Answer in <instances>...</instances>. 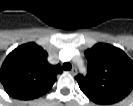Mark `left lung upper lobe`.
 I'll list each match as a JSON object with an SVG mask.
<instances>
[{"instance_id": "obj_1", "label": "left lung upper lobe", "mask_w": 133, "mask_h": 106, "mask_svg": "<svg viewBox=\"0 0 133 106\" xmlns=\"http://www.w3.org/2000/svg\"><path fill=\"white\" fill-rule=\"evenodd\" d=\"M87 75L75 78L82 92L97 104H114L133 88V61L119 48L98 43L85 51Z\"/></svg>"}]
</instances>
